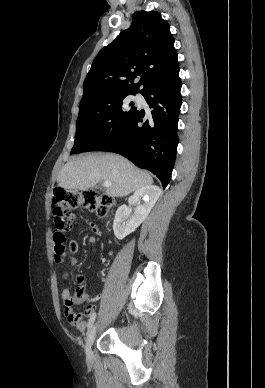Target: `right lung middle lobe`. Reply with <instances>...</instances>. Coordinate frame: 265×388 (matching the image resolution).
I'll use <instances>...</instances> for the list:
<instances>
[{
    "instance_id": "obj_1",
    "label": "right lung middle lobe",
    "mask_w": 265,
    "mask_h": 388,
    "mask_svg": "<svg viewBox=\"0 0 265 388\" xmlns=\"http://www.w3.org/2000/svg\"><path fill=\"white\" fill-rule=\"evenodd\" d=\"M135 94L105 90L82 98L71 154L100 151L137 110L124 99Z\"/></svg>"
}]
</instances>
